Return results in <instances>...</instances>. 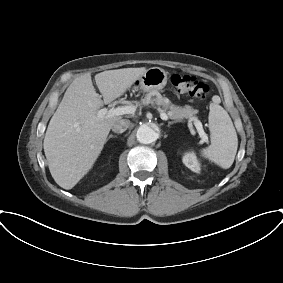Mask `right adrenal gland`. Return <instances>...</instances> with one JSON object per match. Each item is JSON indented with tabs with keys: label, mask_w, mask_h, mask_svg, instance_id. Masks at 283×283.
I'll return each mask as SVG.
<instances>
[{
	"label": "right adrenal gland",
	"mask_w": 283,
	"mask_h": 283,
	"mask_svg": "<svg viewBox=\"0 0 283 283\" xmlns=\"http://www.w3.org/2000/svg\"><path fill=\"white\" fill-rule=\"evenodd\" d=\"M110 138H117V136L116 135H109V137L106 139V142L110 139Z\"/></svg>",
	"instance_id": "1"
}]
</instances>
